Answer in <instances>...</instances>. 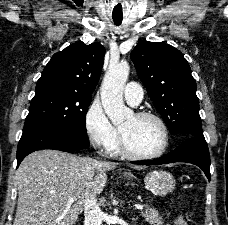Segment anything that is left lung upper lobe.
Segmentation results:
<instances>
[{
	"label": "left lung upper lobe",
	"instance_id": "obj_1",
	"mask_svg": "<svg viewBox=\"0 0 228 225\" xmlns=\"http://www.w3.org/2000/svg\"><path fill=\"white\" fill-rule=\"evenodd\" d=\"M131 59L170 133L203 138L196 82L182 53L168 44L141 41Z\"/></svg>",
	"mask_w": 228,
	"mask_h": 225
}]
</instances>
